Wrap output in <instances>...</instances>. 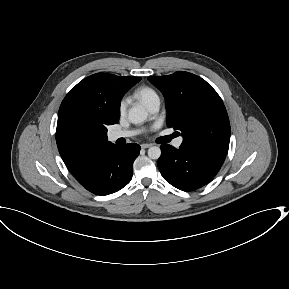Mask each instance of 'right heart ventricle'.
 Masks as SVG:
<instances>
[{"label": "right heart ventricle", "instance_id": "right-heart-ventricle-1", "mask_svg": "<svg viewBox=\"0 0 289 289\" xmlns=\"http://www.w3.org/2000/svg\"><path fill=\"white\" fill-rule=\"evenodd\" d=\"M134 97L145 106H148L154 99L158 98L157 93L150 87L138 88L134 93Z\"/></svg>", "mask_w": 289, "mask_h": 289}]
</instances>
